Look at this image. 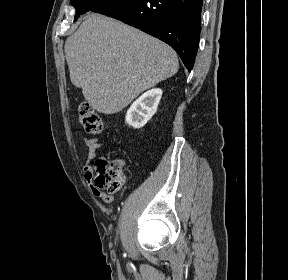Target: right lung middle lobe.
I'll return each instance as SVG.
<instances>
[{
    "label": "right lung middle lobe",
    "instance_id": "1",
    "mask_svg": "<svg viewBox=\"0 0 288 280\" xmlns=\"http://www.w3.org/2000/svg\"><path fill=\"white\" fill-rule=\"evenodd\" d=\"M109 0H71L72 5L76 9L75 19H76L85 12L92 11L96 7L100 6L101 4L107 2Z\"/></svg>",
    "mask_w": 288,
    "mask_h": 280
}]
</instances>
